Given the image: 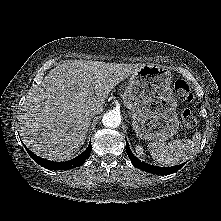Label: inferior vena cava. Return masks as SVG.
Returning a JSON list of instances; mask_svg holds the SVG:
<instances>
[{
	"label": "inferior vena cava",
	"mask_w": 221,
	"mask_h": 221,
	"mask_svg": "<svg viewBox=\"0 0 221 221\" xmlns=\"http://www.w3.org/2000/svg\"><path fill=\"white\" fill-rule=\"evenodd\" d=\"M100 113V110L99 109H97V108H92L90 111H89V116L90 117H93V116H95V115H97V114H99Z\"/></svg>",
	"instance_id": "1"
}]
</instances>
